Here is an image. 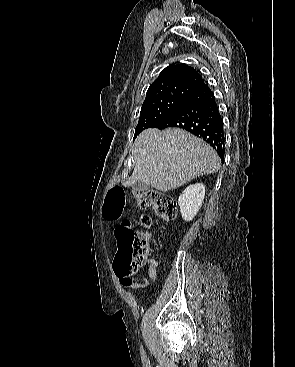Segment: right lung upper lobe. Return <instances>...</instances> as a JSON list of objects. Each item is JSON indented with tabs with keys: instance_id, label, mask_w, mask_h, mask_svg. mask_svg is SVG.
<instances>
[{
	"instance_id": "cb5924a9",
	"label": "right lung upper lobe",
	"mask_w": 295,
	"mask_h": 367,
	"mask_svg": "<svg viewBox=\"0 0 295 367\" xmlns=\"http://www.w3.org/2000/svg\"><path fill=\"white\" fill-rule=\"evenodd\" d=\"M205 85L203 79L193 67L185 64L170 65L163 69L159 77L150 85L146 96L176 87L196 91Z\"/></svg>"
}]
</instances>
